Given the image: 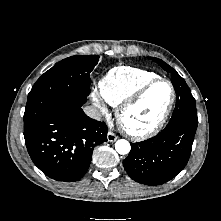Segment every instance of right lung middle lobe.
<instances>
[{"mask_svg": "<svg viewBox=\"0 0 221 221\" xmlns=\"http://www.w3.org/2000/svg\"><path fill=\"white\" fill-rule=\"evenodd\" d=\"M97 55L68 57L46 71L28 94L24 131L60 108L82 106L90 93V72Z\"/></svg>", "mask_w": 221, "mask_h": 221, "instance_id": "dd1d6c3e", "label": "right lung middle lobe"}]
</instances>
